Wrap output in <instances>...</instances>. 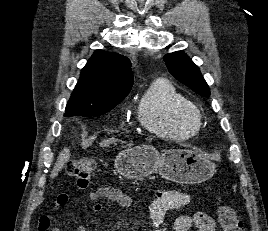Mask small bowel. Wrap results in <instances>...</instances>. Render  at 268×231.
Returning a JSON list of instances; mask_svg holds the SVG:
<instances>
[{"label": "small bowel", "mask_w": 268, "mask_h": 231, "mask_svg": "<svg viewBox=\"0 0 268 231\" xmlns=\"http://www.w3.org/2000/svg\"><path fill=\"white\" fill-rule=\"evenodd\" d=\"M88 198L92 202V210L95 213L103 210V205L99 202L101 199L116 202L124 208H130L133 202L130 196L120 189L111 186H104L91 191ZM192 200L193 196L189 193L158 191L149 206V218L153 226V231H164L162 224L167 212L185 207ZM63 204L64 202H61V205ZM52 221V217L48 215L40 216L37 231H48ZM214 229V222L209 215L203 212H196L191 215L178 217L173 224L172 231H214ZM52 231H63V229L56 227ZM77 231H86V228L82 226Z\"/></svg>", "instance_id": "obj_1"}]
</instances>
